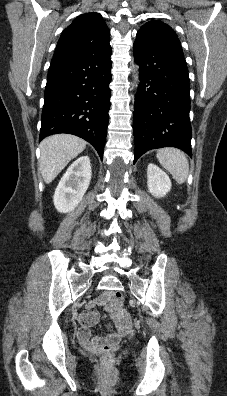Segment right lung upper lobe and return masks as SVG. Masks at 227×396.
Instances as JSON below:
<instances>
[{"label": "right lung upper lobe", "mask_w": 227, "mask_h": 396, "mask_svg": "<svg viewBox=\"0 0 227 396\" xmlns=\"http://www.w3.org/2000/svg\"><path fill=\"white\" fill-rule=\"evenodd\" d=\"M110 30L99 13H87L75 18L64 29L53 58L80 54L110 42Z\"/></svg>", "instance_id": "right-lung-upper-lobe-1"}]
</instances>
